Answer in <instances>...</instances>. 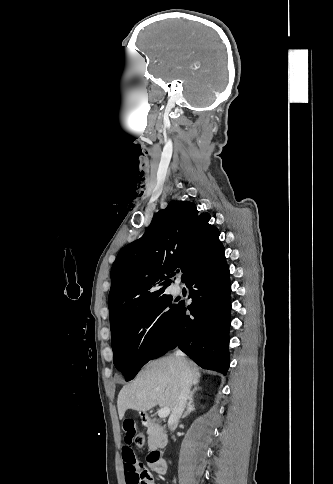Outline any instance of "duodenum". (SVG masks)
Returning a JSON list of instances; mask_svg holds the SVG:
<instances>
[{"label": "duodenum", "instance_id": "1", "mask_svg": "<svg viewBox=\"0 0 333 484\" xmlns=\"http://www.w3.org/2000/svg\"><path fill=\"white\" fill-rule=\"evenodd\" d=\"M149 460L151 463V467L153 471H155L158 474H165L167 467H166V462L162 458L160 450H152L149 454Z\"/></svg>", "mask_w": 333, "mask_h": 484}]
</instances>
